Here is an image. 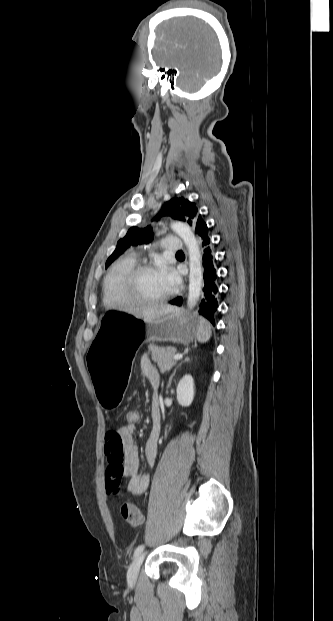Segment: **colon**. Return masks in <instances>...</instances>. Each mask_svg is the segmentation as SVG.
Instances as JSON below:
<instances>
[{
    "label": "colon",
    "instance_id": "1",
    "mask_svg": "<svg viewBox=\"0 0 333 621\" xmlns=\"http://www.w3.org/2000/svg\"><path fill=\"white\" fill-rule=\"evenodd\" d=\"M126 423L136 425L141 419L140 411L135 407H128L125 411ZM121 514L125 521L131 526H139L143 521V514L140 509L132 504L125 503L121 506Z\"/></svg>",
    "mask_w": 333,
    "mask_h": 621
}]
</instances>
